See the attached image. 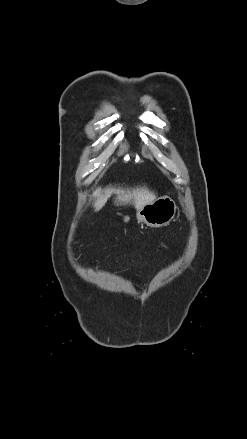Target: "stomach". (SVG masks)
<instances>
[{"mask_svg": "<svg viewBox=\"0 0 247 439\" xmlns=\"http://www.w3.org/2000/svg\"><path fill=\"white\" fill-rule=\"evenodd\" d=\"M176 208L177 206L171 198L163 196L142 206L136 215L139 222L158 228L169 224L175 216ZM124 221L128 222L129 217H124Z\"/></svg>", "mask_w": 247, "mask_h": 439, "instance_id": "1", "label": "stomach"}]
</instances>
